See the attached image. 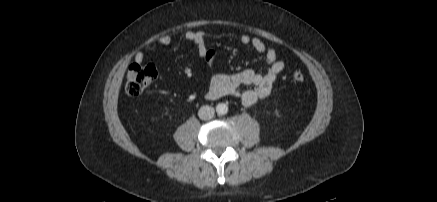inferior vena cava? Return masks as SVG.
Masks as SVG:
<instances>
[{
  "mask_svg": "<svg viewBox=\"0 0 437 202\" xmlns=\"http://www.w3.org/2000/svg\"><path fill=\"white\" fill-rule=\"evenodd\" d=\"M215 110L213 107L204 105L198 111V116L202 120H210L213 118Z\"/></svg>",
  "mask_w": 437,
  "mask_h": 202,
  "instance_id": "602c4592",
  "label": "inferior vena cava"
}]
</instances>
